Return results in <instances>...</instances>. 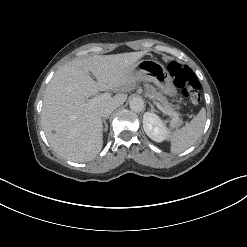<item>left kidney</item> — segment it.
<instances>
[{
    "label": "left kidney",
    "instance_id": "5707ae66",
    "mask_svg": "<svg viewBox=\"0 0 247 247\" xmlns=\"http://www.w3.org/2000/svg\"><path fill=\"white\" fill-rule=\"evenodd\" d=\"M143 128L146 135L153 141L162 142L167 138V128L154 113L147 112L143 116Z\"/></svg>",
    "mask_w": 247,
    "mask_h": 247
}]
</instances>
